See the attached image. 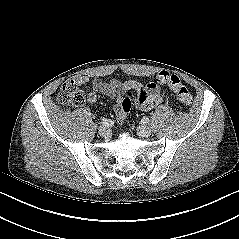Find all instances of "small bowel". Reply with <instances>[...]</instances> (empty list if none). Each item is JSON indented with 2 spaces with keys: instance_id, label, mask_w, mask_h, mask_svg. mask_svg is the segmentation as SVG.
I'll return each mask as SVG.
<instances>
[{
  "instance_id": "c3829d8e",
  "label": "small bowel",
  "mask_w": 239,
  "mask_h": 239,
  "mask_svg": "<svg viewBox=\"0 0 239 239\" xmlns=\"http://www.w3.org/2000/svg\"><path fill=\"white\" fill-rule=\"evenodd\" d=\"M75 81L84 85L91 81L93 91L88 95V101L94 103L97 100V94H103L112 100L117 102L126 91H136L137 98L135 100L136 107L143 111H149L158 106L162 100V93L159 86L155 83H148L146 85L135 81L129 80L126 82H120L116 79L104 80V79H90L88 76H77ZM114 111L119 112V104L114 106Z\"/></svg>"
}]
</instances>
